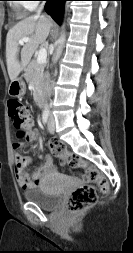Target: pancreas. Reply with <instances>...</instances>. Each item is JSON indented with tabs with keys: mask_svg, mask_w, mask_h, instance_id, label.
Returning a JSON list of instances; mask_svg holds the SVG:
<instances>
[{
	"mask_svg": "<svg viewBox=\"0 0 133 253\" xmlns=\"http://www.w3.org/2000/svg\"><path fill=\"white\" fill-rule=\"evenodd\" d=\"M45 63H38L33 59L25 72V79L33 86V97L36 100L45 85L46 75L44 73Z\"/></svg>",
	"mask_w": 133,
	"mask_h": 253,
	"instance_id": "cf45deb5",
	"label": "pancreas"
}]
</instances>
